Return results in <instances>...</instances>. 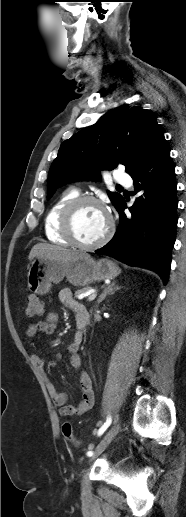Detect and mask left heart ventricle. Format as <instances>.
<instances>
[{
    "label": "left heart ventricle",
    "mask_w": 186,
    "mask_h": 517,
    "mask_svg": "<svg viewBox=\"0 0 186 517\" xmlns=\"http://www.w3.org/2000/svg\"><path fill=\"white\" fill-rule=\"evenodd\" d=\"M76 237L83 243L99 240L108 227V218L102 208L95 204H86L78 211L75 221Z\"/></svg>",
    "instance_id": "1"
}]
</instances>
